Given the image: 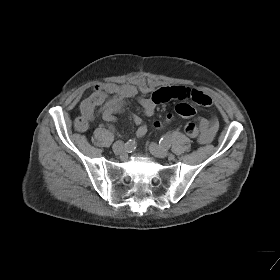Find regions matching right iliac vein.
<instances>
[{
  "mask_svg": "<svg viewBox=\"0 0 280 280\" xmlns=\"http://www.w3.org/2000/svg\"><path fill=\"white\" fill-rule=\"evenodd\" d=\"M112 149L115 154H120L124 149V143L122 141H116L113 144Z\"/></svg>",
  "mask_w": 280,
  "mask_h": 280,
  "instance_id": "1",
  "label": "right iliac vein"
}]
</instances>
